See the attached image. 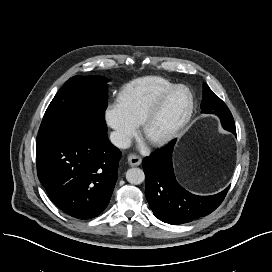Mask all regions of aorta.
Returning <instances> with one entry per match:
<instances>
[{"mask_svg": "<svg viewBox=\"0 0 272 272\" xmlns=\"http://www.w3.org/2000/svg\"><path fill=\"white\" fill-rule=\"evenodd\" d=\"M126 180L134 185H138L144 182L145 174L140 168H131L126 172Z\"/></svg>", "mask_w": 272, "mask_h": 272, "instance_id": "762f6f07", "label": "aorta"}]
</instances>
